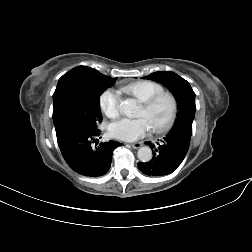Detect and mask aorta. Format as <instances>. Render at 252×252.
I'll list each match as a JSON object with an SVG mask.
<instances>
[{"instance_id": "obj_1", "label": "aorta", "mask_w": 252, "mask_h": 252, "mask_svg": "<svg viewBox=\"0 0 252 252\" xmlns=\"http://www.w3.org/2000/svg\"><path fill=\"white\" fill-rule=\"evenodd\" d=\"M120 110L127 117H134L137 113V103L134 99H125L120 103ZM137 155L142 162H149L152 159V151L148 146L139 148Z\"/></svg>"}]
</instances>
